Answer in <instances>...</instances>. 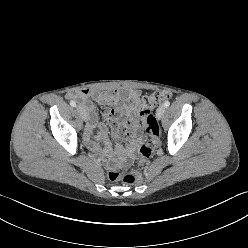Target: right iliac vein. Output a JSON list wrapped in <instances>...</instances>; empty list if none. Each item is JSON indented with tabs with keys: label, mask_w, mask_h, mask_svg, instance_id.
<instances>
[{
	"label": "right iliac vein",
	"mask_w": 248,
	"mask_h": 248,
	"mask_svg": "<svg viewBox=\"0 0 248 248\" xmlns=\"http://www.w3.org/2000/svg\"><path fill=\"white\" fill-rule=\"evenodd\" d=\"M76 109L81 115V117L83 118V120L86 121L88 119V113H87L86 108L80 104L76 106Z\"/></svg>",
	"instance_id": "1"
}]
</instances>
